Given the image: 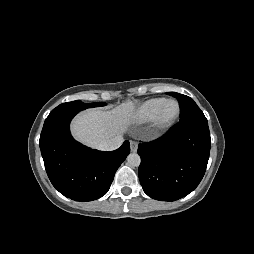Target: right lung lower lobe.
<instances>
[{
	"label": "right lung lower lobe",
	"mask_w": 254,
	"mask_h": 254,
	"mask_svg": "<svg viewBox=\"0 0 254 254\" xmlns=\"http://www.w3.org/2000/svg\"><path fill=\"white\" fill-rule=\"evenodd\" d=\"M84 108L59 105L44 122L40 149L53 186L75 201L96 200L107 193L114 175L130 153V143L110 152L88 148L70 134L71 119Z\"/></svg>",
	"instance_id": "right-lung-lower-lobe-1"
}]
</instances>
